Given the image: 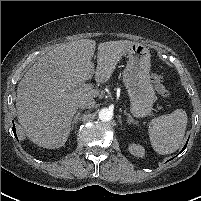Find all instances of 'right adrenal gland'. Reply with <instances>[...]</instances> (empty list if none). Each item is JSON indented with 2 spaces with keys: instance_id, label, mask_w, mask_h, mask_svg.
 <instances>
[{
  "instance_id": "1",
  "label": "right adrenal gland",
  "mask_w": 201,
  "mask_h": 201,
  "mask_svg": "<svg viewBox=\"0 0 201 201\" xmlns=\"http://www.w3.org/2000/svg\"><path fill=\"white\" fill-rule=\"evenodd\" d=\"M81 115V111H78L77 114L74 116V119L72 121V129L74 128V126L77 125V122L79 120V116Z\"/></svg>"
}]
</instances>
